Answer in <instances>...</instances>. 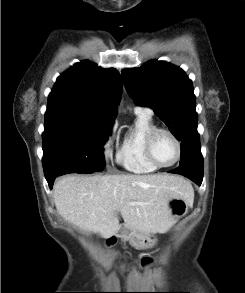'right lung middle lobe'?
I'll list each match as a JSON object with an SVG mask.
<instances>
[{"label":"right lung middle lobe","mask_w":245,"mask_h":293,"mask_svg":"<svg viewBox=\"0 0 245 293\" xmlns=\"http://www.w3.org/2000/svg\"><path fill=\"white\" fill-rule=\"evenodd\" d=\"M111 125L70 118H45L43 168L46 179L67 173L102 171V145Z\"/></svg>","instance_id":"dd1d6c3e"}]
</instances>
